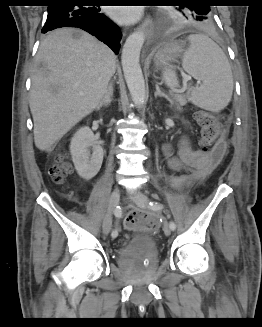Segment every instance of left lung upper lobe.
I'll return each instance as SVG.
<instances>
[{"label": "left lung upper lobe", "mask_w": 262, "mask_h": 327, "mask_svg": "<svg viewBox=\"0 0 262 327\" xmlns=\"http://www.w3.org/2000/svg\"><path fill=\"white\" fill-rule=\"evenodd\" d=\"M174 12H161V25L165 28L174 25L207 27L213 24L210 6L200 0H180Z\"/></svg>", "instance_id": "left-lung-upper-lobe-1"}]
</instances>
